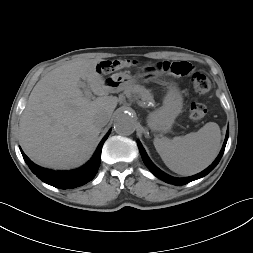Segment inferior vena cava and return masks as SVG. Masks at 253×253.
I'll return each instance as SVG.
<instances>
[{"label": "inferior vena cava", "instance_id": "inferior-vena-cava-1", "mask_svg": "<svg viewBox=\"0 0 253 253\" xmlns=\"http://www.w3.org/2000/svg\"><path fill=\"white\" fill-rule=\"evenodd\" d=\"M109 119L110 117L106 113L99 114L95 118V124L99 127H104L108 123Z\"/></svg>", "mask_w": 253, "mask_h": 253}]
</instances>
